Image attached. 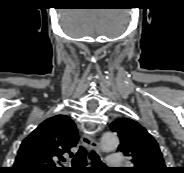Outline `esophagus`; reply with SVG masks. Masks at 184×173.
I'll use <instances>...</instances> for the list:
<instances>
[{"label": "esophagus", "mask_w": 184, "mask_h": 173, "mask_svg": "<svg viewBox=\"0 0 184 173\" xmlns=\"http://www.w3.org/2000/svg\"><path fill=\"white\" fill-rule=\"evenodd\" d=\"M81 143L88 150H98V142L93 136L84 134L81 138Z\"/></svg>", "instance_id": "obj_1"}]
</instances>
